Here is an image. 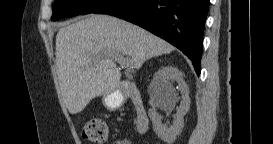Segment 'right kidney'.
<instances>
[{"label": "right kidney", "instance_id": "ca27d5eb", "mask_svg": "<svg viewBox=\"0 0 273 144\" xmlns=\"http://www.w3.org/2000/svg\"><path fill=\"white\" fill-rule=\"evenodd\" d=\"M176 81L183 94L186 103H190L189 89L182 78L181 72L174 67L166 66L159 69L153 79V83L158 86L159 103L164 105L176 97V89L172 83ZM155 86V88L157 87ZM187 109L182 108L174 115V121L171 126L162 124L161 117L156 113L155 109H149V117L153 123V129L157 136L164 142L171 144L175 141L178 134L181 133L184 127V115Z\"/></svg>", "mask_w": 273, "mask_h": 144}]
</instances>
